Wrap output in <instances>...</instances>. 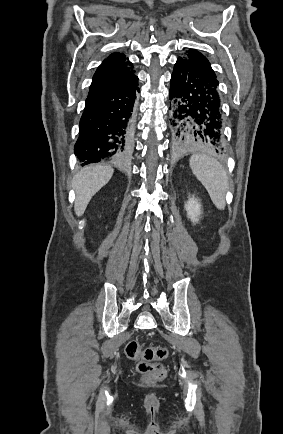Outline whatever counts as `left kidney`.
I'll return each mask as SVG.
<instances>
[{
	"mask_svg": "<svg viewBox=\"0 0 283 434\" xmlns=\"http://www.w3.org/2000/svg\"><path fill=\"white\" fill-rule=\"evenodd\" d=\"M185 209L187 211L188 218L193 223H197L201 215V204L199 200L194 196L189 197L187 203L185 204Z\"/></svg>",
	"mask_w": 283,
	"mask_h": 434,
	"instance_id": "obj_1",
	"label": "left kidney"
}]
</instances>
